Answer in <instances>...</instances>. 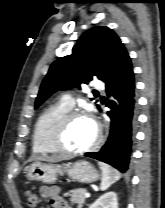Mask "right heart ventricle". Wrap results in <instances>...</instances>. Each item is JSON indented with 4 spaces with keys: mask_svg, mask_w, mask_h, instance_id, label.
<instances>
[{
    "mask_svg": "<svg viewBox=\"0 0 165 208\" xmlns=\"http://www.w3.org/2000/svg\"><path fill=\"white\" fill-rule=\"evenodd\" d=\"M70 107L66 106L63 102L55 103L46 108L37 118L32 135V149L36 154H53L58 153L50 141V134L58 119Z\"/></svg>",
    "mask_w": 165,
    "mask_h": 208,
    "instance_id": "1",
    "label": "right heart ventricle"
}]
</instances>
